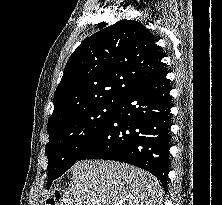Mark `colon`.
I'll list each match as a JSON object with an SVG mask.
<instances>
[{
	"label": "colon",
	"instance_id": "1",
	"mask_svg": "<svg viewBox=\"0 0 222 205\" xmlns=\"http://www.w3.org/2000/svg\"><path fill=\"white\" fill-rule=\"evenodd\" d=\"M57 200H58V194H56V196L53 198L47 199L44 205H56Z\"/></svg>",
	"mask_w": 222,
	"mask_h": 205
}]
</instances>
